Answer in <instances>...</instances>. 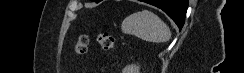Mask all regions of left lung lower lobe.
<instances>
[{
	"mask_svg": "<svg viewBox=\"0 0 244 73\" xmlns=\"http://www.w3.org/2000/svg\"><path fill=\"white\" fill-rule=\"evenodd\" d=\"M143 2L162 9L180 29L183 27L188 0H144Z\"/></svg>",
	"mask_w": 244,
	"mask_h": 73,
	"instance_id": "obj_1",
	"label": "left lung lower lobe"
}]
</instances>
